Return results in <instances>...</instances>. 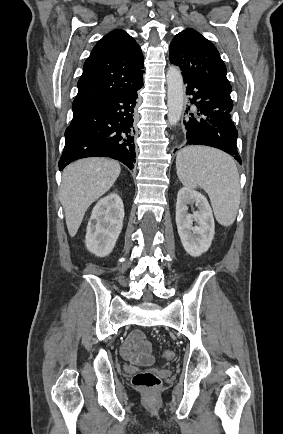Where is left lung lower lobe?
<instances>
[{
	"label": "left lung lower lobe",
	"mask_w": 283,
	"mask_h": 434,
	"mask_svg": "<svg viewBox=\"0 0 283 434\" xmlns=\"http://www.w3.org/2000/svg\"><path fill=\"white\" fill-rule=\"evenodd\" d=\"M182 75L191 104L183 121L186 145L215 147L241 163L236 147L238 131L231 120L233 103L230 93L195 76Z\"/></svg>",
	"instance_id": "left-lung-lower-lobe-1"
}]
</instances>
